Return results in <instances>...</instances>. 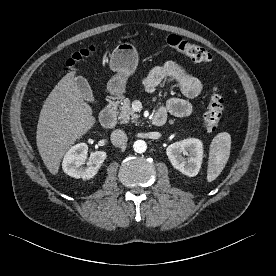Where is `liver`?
<instances>
[{
	"instance_id": "1",
	"label": "liver",
	"mask_w": 276,
	"mask_h": 276,
	"mask_svg": "<svg viewBox=\"0 0 276 276\" xmlns=\"http://www.w3.org/2000/svg\"><path fill=\"white\" fill-rule=\"evenodd\" d=\"M67 73L47 97L37 124L39 154L49 172L56 175L65 152L95 124L92 108L83 100Z\"/></svg>"
}]
</instances>
